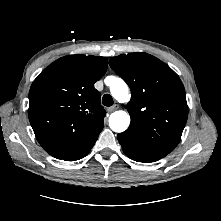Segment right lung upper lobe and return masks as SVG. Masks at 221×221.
<instances>
[{
	"mask_svg": "<svg viewBox=\"0 0 221 221\" xmlns=\"http://www.w3.org/2000/svg\"><path fill=\"white\" fill-rule=\"evenodd\" d=\"M104 57L68 55L34 80L28 116L42 148L57 159L83 149L103 128L106 111L94 88L107 70Z\"/></svg>",
	"mask_w": 221,
	"mask_h": 221,
	"instance_id": "obj_1",
	"label": "right lung upper lobe"
}]
</instances>
